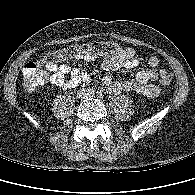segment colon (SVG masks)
<instances>
[{
	"label": "colon",
	"mask_w": 195,
	"mask_h": 195,
	"mask_svg": "<svg viewBox=\"0 0 195 195\" xmlns=\"http://www.w3.org/2000/svg\"><path fill=\"white\" fill-rule=\"evenodd\" d=\"M121 47L113 41H93L81 45H71L66 48L47 53L38 62L27 63L23 69V86L28 92L36 90L47 81V74L41 70V67H51L70 58L81 54H99L106 55L116 53ZM161 84L168 86L173 81V74L165 72L160 77Z\"/></svg>",
	"instance_id": "1"
}]
</instances>
